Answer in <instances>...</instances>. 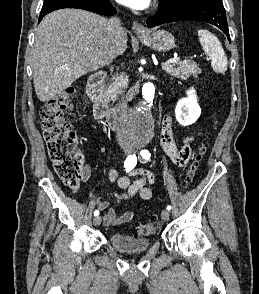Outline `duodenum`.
Returning a JSON list of instances; mask_svg holds the SVG:
<instances>
[{"label": "duodenum", "instance_id": "obj_1", "mask_svg": "<svg viewBox=\"0 0 259 294\" xmlns=\"http://www.w3.org/2000/svg\"><path fill=\"white\" fill-rule=\"evenodd\" d=\"M105 72H96L87 81V93L94 104V115L98 120H106L112 129L119 126L120 119L117 110L110 108L107 92L103 87ZM139 89V84L133 88L131 94Z\"/></svg>", "mask_w": 259, "mask_h": 294}]
</instances>
